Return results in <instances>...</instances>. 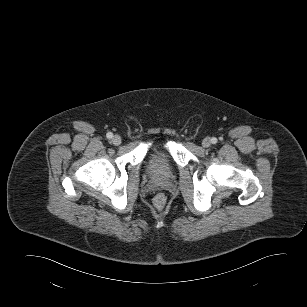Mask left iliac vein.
<instances>
[{"label": "left iliac vein", "instance_id": "4c4485c4", "mask_svg": "<svg viewBox=\"0 0 307 307\" xmlns=\"http://www.w3.org/2000/svg\"><path fill=\"white\" fill-rule=\"evenodd\" d=\"M203 147L207 148L211 145V140L209 138H205L202 142Z\"/></svg>", "mask_w": 307, "mask_h": 307}]
</instances>
